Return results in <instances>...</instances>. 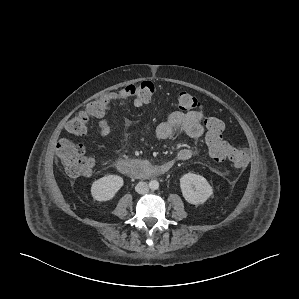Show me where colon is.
Segmentation results:
<instances>
[{
	"label": "colon",
	"mask_w": 299,
	"mask_h": 299,
	"mask_svg": "<svg viewBox=\"0 0 299 299\" xmlns=\"http://www.w3.org/2000/svg\"><path fill=\"white\" fill-rule=\"evenodd\" d=\"M126 91L133 99L143 103L149 102L156 94V87L149 81L129 85ZM108 100L105 96L97 98L70 119L66 125L67 131L73 135H84L91 119L100 118L108 109ZM178 105L185 111H193L201 107L200 101L189 92H181L178 96ZM205 141L211 157L217 161L230 159L238 168H244L249 162V155L243 149L230 145L223 137L224 122L216 117H210L205 121ZM57 155L70 176H82L92 173L94 161L86 155L82 144L74 143L69 139H61L57 144Z\"/></svg>",
	"instance_id": "1"
}]
</instances>
